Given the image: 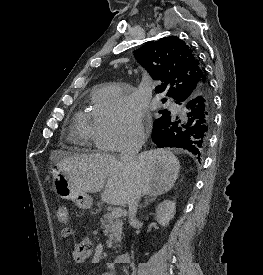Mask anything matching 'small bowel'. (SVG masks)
I'll use <instances>...</instances> for the list:
<instances>
[{
  "instance_id": "small-bowel-1",
  "label": "small bowel",
  "mask_w": 263,
  "mask_h": 275,
  "mask_svg": "<svg viewBox=\"0 0 263 275\" xmlns=\"http://www.w3.org/2000/svg\"><path fill=\"white\" fill-rule=\"evenodd\" d=\"M72 234V230L70 228H64L61 232L63 238H68ZM93 254V244L92 242L84 238L80 240L71 252V258L74 263L81 264L87 261ZM101 275H115V271L113 266L110 264L106 265V269Z\"/></svg>"
}]
</instances>
